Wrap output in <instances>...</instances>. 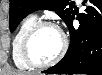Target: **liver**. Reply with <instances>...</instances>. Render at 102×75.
Listing matches in <instances>:
<instances>
[{
  "label": "liver",
  "mask_w": 102,
  "mask_h": 75,
  "mask_svg": "<svg viewBox=\"0 0 102 75\" xmlns=\"http://www.w3.org/2000/svg\"><path fill=\"white\" fill-rule=\"evenodd\" d=\"M8 75H26L24 72L21 71H11Z\"/></svg>",
  "instance_id": "1"
}]
</instances>
